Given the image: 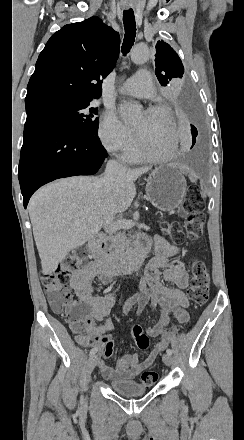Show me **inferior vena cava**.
<instances>
[{"label":"inferior vena cava","instance_id":"1","mask_svg":"<svg viewBox=\"0 0 244 440\" xmlns=\"http://www.w3.org/2000/svg\"><path fill=\"white\" fill-rule=\"evenodd\" d=\"M129 168H124L122 164L116 162V160H109L104 176L102 178V184H112L117 178V174H125L128 172ZM114 216L113 212H109L104 218L103 228L107 234H114L116 232V226H114Z\"/></svg>","mask_w":244,"mask_h":440}]
</instances>
